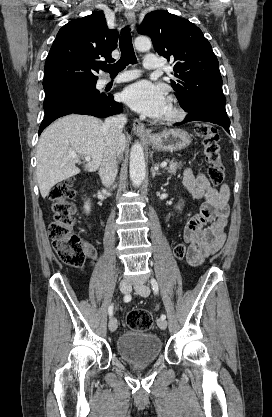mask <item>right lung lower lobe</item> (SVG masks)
Instances as JSON below:
<instances>
[{"label":"right lung lower lobe","mask_w":272,"mask_h":417,"mask_svg":"<svg viewBox=\"0 0 272 417\" xmlns=\"http://www.w3.org/2000/svg\"><path fill=\"white\" fill-rule=\"evenodd\" d=\"M45 116L39 127V134L54 120L68 114L92 115L107 117L122 111L121 104L113 100L111 94H104L98 98L87 95H70L58 98L44 106Z\"/></svg>","instance_id":"obj_1"}]
</instances>
